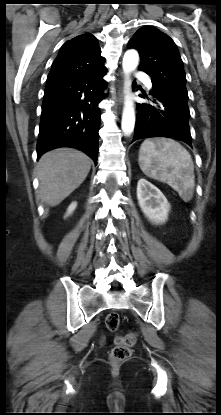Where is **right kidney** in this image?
<instances>
[{
	"label": "right kidney",
	"instance_id": "ca27d5eb",
	"mask_svg": "<svg viewBox=\"0 0 221 415\" xmlns=\"http://www.w3.org/2000/svg\"><path fill=\"white\" fill-rule=\"evenodd\" d=\"M76 206H77V203H76V202H72V203L70 204V206L68 207V209H67V213H66L65 217H67V216H69L70 214H72V213H73V211L76 209Z\"/></svg>",
	"mask_w": 221,
	"mask_h": 415
}]
</instances>
